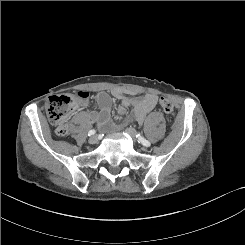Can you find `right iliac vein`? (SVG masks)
Listing matches in <instances>:
<instances>
[{
    "label": "right iliac vein",
    "mask_w": 245,
    "mask_h": 245,
    "mask_svg": "<svg viewBox=\"0 0 245 245\" xmlns=\"http://www.w3.org/2000/svg\"><path fill=\"white\" fill-rule=\"evenodd\" d=\"M88 141H89L90 144H95V143L98 142V137H97L96 135H93V136H91V137L89 138Z\"/></svg>",
    "instance_id": "obj_1"
}]
</instances>
